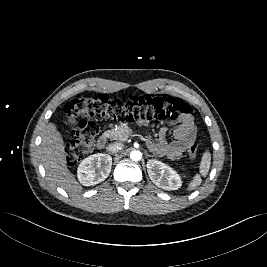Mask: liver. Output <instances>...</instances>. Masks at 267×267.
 Wrapping results in <instances>:
<instances>
[{
	"label": "liver",
	"instance_id": "6515ba94",
	"mask_svg": "<svg viewBox=\"0 0 267 267\" xmlns=\"http://www.w3.org/2000/svg\"><path fill=\"white\" fill-rule=\"evenodd\" d=\"M39 154L46 174L53 183L71 193L82 190L67 167L65 143L54 123H49L43 131Z\"/></svg>",
	"mask_w": 267,
	"mask_h": 267
}]
</instances>
